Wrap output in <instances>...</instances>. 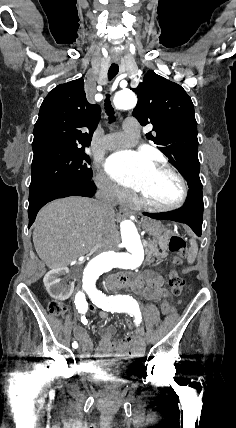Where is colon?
<instances>
[{
    "mask_svg": "<svg viewBox=\"0 0 236 428\" xmlns=\"http://www.w3.org/2000/svg\"><path fill=\"white\" fill-rule=\"evenodd\" d=\"M169 250L177 255V257L173 261V264L178 265L181 261V258L186 255V243L184 238L180 235H172L169 240ZM168 282L173 295H179L185 285L183 277L177 272L174 267L171 268L169 271ZM47 307L49 312L54 316L65 317L67 315L66 308L58 301H48ZM161 309L165 315H171L175 311L174 307L172 306L171 300H164ZM125 324L129 328L133 327V322L131 320H127Z\"/></svg>",
    "mask_w": 236,
    "mask_h": 428,
    "instance_id": "obj_1",
    "label": "colon"
}]
</instances>
